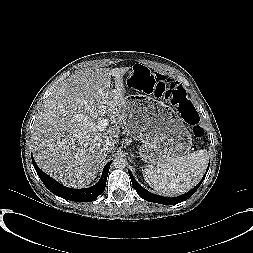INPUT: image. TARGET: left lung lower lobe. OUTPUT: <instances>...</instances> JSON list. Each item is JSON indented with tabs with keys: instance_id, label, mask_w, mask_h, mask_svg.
I'll list each match as a JSON object with an SVG mask.
<instances>
[{
	"instance_id": "obj_1",
	"label": "left lung lower lobe",
	"mask_w": 253,
	"mask_h": 253,
	"mask_svg": "<svg viewBox=\"0 0 253 253\" xmlns=\"http://www.w3.org/2000/svg\"><path fill=\"white\" fill-rule=\"evenodd\" d=\"M207 171H208V169H207ZM207 171H206L203 179L201 180V182L195 188H193L191 191L187 192L184 195H181L178 197H173V198L162 197V196L155 195V194L147 191L146 189H144L142 186H140L137 183V181L134 179V177L130 171H129V175H130L133 187L137 191V193L140 197H142L143 199H145L149 202H155V203H160V204H165V205H173V204L183 202V201L187 200L189 197H191L195 193V191L199 188V186L201 185L202 181L204 180V178L207 174Z\"/></svg>"
}]
</instances>
